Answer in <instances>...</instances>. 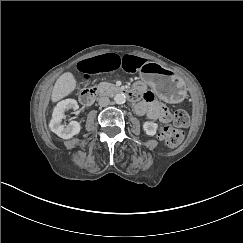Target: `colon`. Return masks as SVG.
<instances>
[{"instance_id": "obj_1", "label": "colon", "mask_w": 243, "mask_h": 243, "mask_svg": "<svg viewBox=\"0 0 243 243\" xmlns=\"http://www.w3.org/2000/svg\"><path fill=\"white\" fill-rule=\"evenodd\" d=\"M188 123L189 116L185 111H175L172 124L164 126L161 130V137L164 142L170 147H176L179 145L184 138L182 128L186 127Z\"/></svg>"}]
</instances>
